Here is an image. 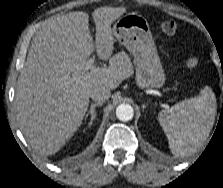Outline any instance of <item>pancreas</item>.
I'll return each instance as SVG.
<instances>
[{
  "mask_svg": "<svg viewBox=\"0 0 223 188\" xmlns=\"http://www.w3.org/2000/svg\"><path fill=\"white\" fill-rule=\"evenodd\" d=\"M116 59L117 60H126V61H128L129 62V58H128V56L125 54V53H120V54H118L117 56H116Z\"/></svg>",
  "mask_w": 223,
  "mask_h": 188,
  "instance_id": "1",
  "label": "pancreas"
}]
</instances>
